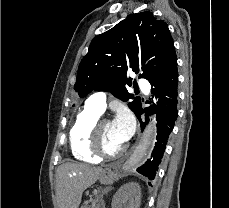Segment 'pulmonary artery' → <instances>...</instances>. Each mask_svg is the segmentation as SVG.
<instances>
[{
  "mask_svg": "<svg viewBox=\"0 0 229 208\" xmlns=\"http://www.w3.org/2000/svg\"><path fill=\"white\" fill-rule=\"evenodd\" d=\"M137 82L139 83V86L143 88L145 92L149 90L150 86L148 83H145L146 82L145 78H138ZM85 107L101 115L106 109V93L103 91L93 93L86 100Z\"/></svg>",
  "mask_w": 229,
  "mask_h": 208,
  "instance_id": "1",
  "label": "pulmonary artery"
}]
</instances>
